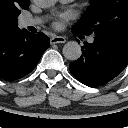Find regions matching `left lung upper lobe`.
<instances>
[{
	"label": "left lung upper lobe",
	"mask_w": 128,
	"mask_h": 128,
	"mask_svg": "<svg viewBox=\"0 0 128 128\" xmlns=\"http://www.w3.org/2000/svg\"><path fill=\"white\" fill-rule=\"evenodd\" d=\"M74 30L97 37L128 36V0H91V5Z\"/></svg>",
	"instance_id": "5c2ea615"
}]
</instances>
